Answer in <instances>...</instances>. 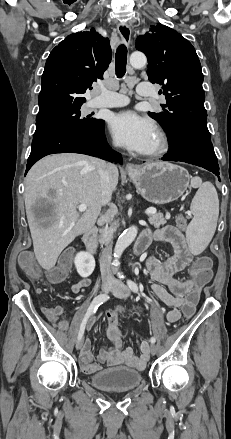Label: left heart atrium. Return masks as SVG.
<instances>
[{
	"label": "left heart atrium",
	"instance_id": "left-heart-atrium-1",
	"mask_svg": "<svg viewBox=\"0 0 231 439\" xmlns=\"http://www.w3.org/2000/svg\"><path fill=\"white\" fill-rule=\"evenodd\" d=\"M109 127L118 143L140 153L147 151L156 134V127L151 120L129 110L115 114Z\"/></svg>",
	"mask_w": 231,
	"mask_h": 439
}]
</instances>
